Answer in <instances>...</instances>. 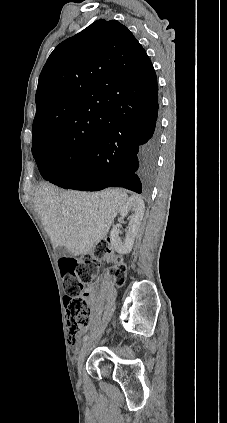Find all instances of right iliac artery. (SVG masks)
<instances>
[{
  "instance_id": "82829eb1",
  "label": "right iliac artery",
  "mask_w": 227,
  "mask_h": 423,
  "mask_svg": "<svg viewBox=\"0 0 227 423\" xmlns=\"http://www.w3.org/2000/svg\"><path fill=\"white\" fill-rule=\"evenodd\" d=\"M88 339H89L88 335H85L84 338H83L84 341H87Z\"/></svg>"
}]
</instances>
